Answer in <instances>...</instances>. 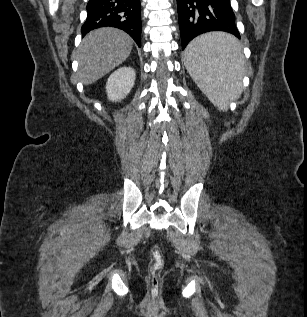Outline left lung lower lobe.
I'll list each match as a JSON object with an SVG mask.
<instances>
[{
    "label": "left lung lower lobe",
    "mask_w": 307,
    "mask_h": 317,
    "mask_svg": "<svg viewBox=\"0 0 307 317\" xmlns=\"http://www.w3.org/2000/svg\"><path fill=\"white\" fill-rule=\"evenodd\" d=\"M177 9L182 50L193 38L209 31L228 32L240 39L230 0H177ZM237 50L238 46L233 44L214 57L229 61L237 55Z\"/></svg>",
    "instance_id": "left-lung-lower-lobe-1"
}]
</instances>
